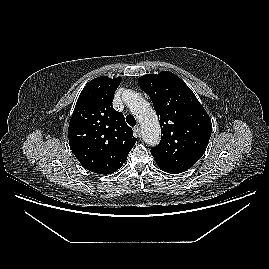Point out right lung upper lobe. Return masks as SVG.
Masks as SVG:
<instances>
[{"label":"right lung upper lobe","mask_w":269,"mask_h":269,"mask_svg":"<svg viewBox=\"0 0 269 269\" xmlns=\"http://www.w3.org/2000/svg\"><path fill=\"white\" fill-rule=\"evenodd\" d=\"M121 80H91L82 90L69 123L72 152L85 169L97 174H111L121 168L137 140L123 114L112 106Z\"/></svg>","instance_id":"1"}]
</instances>
